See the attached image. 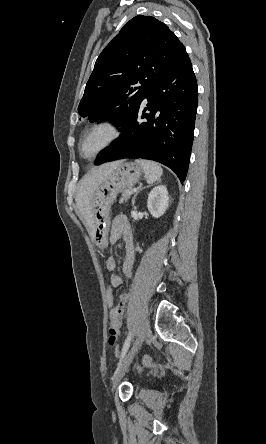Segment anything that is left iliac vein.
<instances>
[{
    "mask_svg": "<svg viewBox=\"0 0 266 444\" xmlns=\"http://www.w3.org/2000/svg\"><path fill=\"white\" fill-rule=\"evenodd\" d=\"M149 333H150V323H149V320L147 318H145L141 324L140 331L138 333L136 340L134 341L132 348L130 349L128 354L125 356V358L122 360V362L119 365L118 370L116 371V373L113 376L112 393H114L115 390L117 389L118 384L120 383V381L122 380V378L126 374L130 364L132 363V361H133L134 357L136 356L138 350L140 349L143 341L145 340V338L148 336Z\"/></svg>",
    "mask_w": 266,
    "mask_h": 444,
    "instance_id": "4c4485c4",
    "label": "left iliac vein"
}]
</instances>
